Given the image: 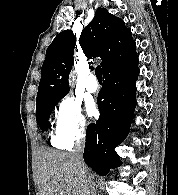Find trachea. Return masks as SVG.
Instances as JSON below:
<instances>
[{"mask_svg": "<svg viewBox=\"0 0 178 195\" xmlns=\"http://www.w3.org/2000/svg\"><path fill=\"white\" fill-rule=\"evenodd\" d=\"M95 74L99 82H102V69L100 66H97L95 69Z\"/></svg>", "mask_w": 178, "mask_h": 195, "instance_id": "obj_1", "label": "trachea"}]
</instances>
